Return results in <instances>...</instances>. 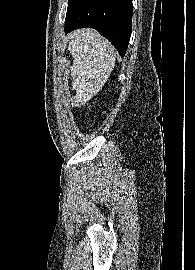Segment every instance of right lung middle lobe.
I'll list each match as a JSON object with an SVG mask.
<instances>
[{"label": "right lung middle lobe", "mask_w": 195, "mask_h": 270, "mask_svg": "<svg viewBox=\"0 0 195 270\" xmlns=\"http://www.w3.org/2000/svg\"><path fill=\"white\" fill-rule=\"evenodd\" d=\"M74 0H68V7L71 5V3L73 2Z\"/></svg>", "instance_id": "1"}]
</instances>
